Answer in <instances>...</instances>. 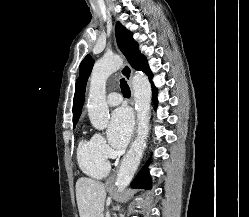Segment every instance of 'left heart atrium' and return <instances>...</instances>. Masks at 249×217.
<instances>
[{"mask_svg": "<svg viewBox=\"0 0 249 217\" xmlns=\"http://www.w3.org/2000/svg\"><path fill=\"white\" fill-rule=\"evenodd\" d=\"M133 129V118L126 107H119L111 115L108 130L110 144L122 149L128 143Z\"/></svg>", "mask_w": 249, "mask_h": 217, "instance_id": "39dd6f15", "label": "left heart atrium"}]
</instances>
